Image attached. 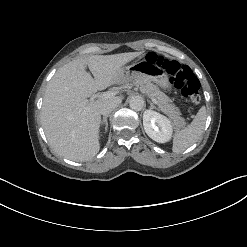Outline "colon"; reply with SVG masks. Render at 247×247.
I'll return each mask as SVG.
<instances>
[{
  "label": "colon",
  "mask_w": 247,
  "mask_h": 247,
  "mask_svg": "<svg viewBox=\"0 0 247 247\" xmlns=\"http://www.w3.org/2000/svg\"><path fill=\"white\" fill-rule=\"evenodd\" d=\"M149 61L162 66L168 72L170 82L180 89L185 98L194 104L200 101V82L188 66L153 54L149 56Z\"/></svg>",
  "instance_id": "5ec220e1"
}]
</instances>
